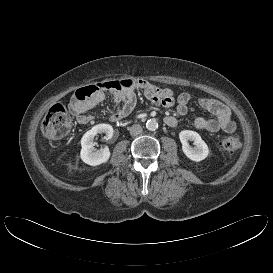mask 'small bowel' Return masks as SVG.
Returning <instances> with one entry per match:
<instances>
[{
	"mask_svg": "<svg viewBox=\"0 0 273 273\" xmlns=\"http://www.w3.org/2000/svg\"><path fill=\"white\" fill-rule=\"evenodd\" d=\"M142 91L146 98L152 103L171 107L176 102V112L184 116L188 113V105L191 101V96L187 92H183L175 98L172 90L167 88H159L145 80H135L131 87L118 90H110L114 101V110L111 112L110 118L112 121H119L128 116L136 105V91ZM105 99V93L101 89L97 91L91 98L85 101L73 100L70 104V110L76 121L81 125H87L92 122V117L86 112L100 104ZM200 108L210 112L214 118L207 119L197 117L193 120V125L201 130L209 132L224 131L233 133L236 130V123L231 119L230 110L218 100L211 98H201L198 100ZM165 123L173 127L177 120L174 116L165 117Z\"/></svg>",
	"mask_w": 273,
	"mask_h": 273,
	"instance_id": "c3829d8e",
	"label": "small bowel"
}]
</instances>
